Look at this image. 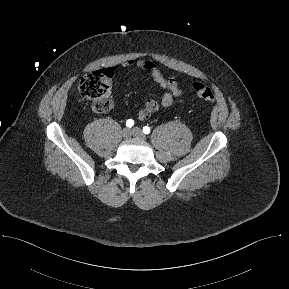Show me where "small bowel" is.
I'll return each instance as SVG.
<instances>
[{"label": "small bowel", "mask_w": 289, "mask_h": 289, "mask_svg": "<svg viewBox=\"0 0 289 289\" xmlns=\"http://www.w3.org/2000/svg\"><path fill=\"white\" fill-rule=\"evenodd\" d=\"M124 68H137L147 71L154 81L163 89L160 101L148 100L144 107L137 112L139 120L148 119L153 113L167 111L173 108L175 102L183 103V91L180 89L175 77H166L151 60H129L123 64Z\"/></svg>", "instance_id": "c3829d8e"}]
</instances>
